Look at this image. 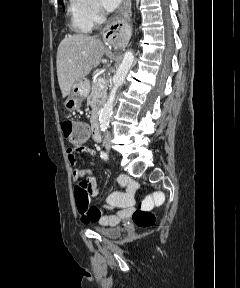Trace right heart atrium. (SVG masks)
Listing matches in <instances>:
<instances>
[{"label":"right heart atrium","instance_id":"obj_1","mask_svg":"<svg viewBox=\"0 0 240 288\" xmlns=\"http://www.w3.org/2000/svg\"><path fill=\"white\" fill-rule=\"evenodd\" d=\"M82 17L90 24H98L104 18L99 0H77Z\"/></svg>","mask_w":240,"mask_h":288}]
</instances>
